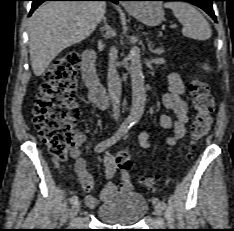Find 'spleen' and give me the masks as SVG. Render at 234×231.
Wrapping results in <instances>:
<instances>
[{
  "instance_id": "1",
  "label": "spleen",
  "mask_w": 234,
  "mask_h": 231,
  "mask_svg": "<svg viewBox=\"0 0 234 231\" xmlns=\"http://www.w3.org/2000/svg\"><path fill=\"white\" fill-rule=\"evenodd\" d=\"M164 7L170 8L174 16L183 25L182 34L195 40H207L212 31L202 14L186 2H166Z\"/></svg>"
}]
</instances>
